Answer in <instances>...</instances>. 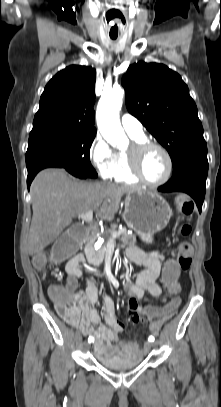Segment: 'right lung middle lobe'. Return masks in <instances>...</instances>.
Returning a JSON list of instances; mask_svg holds the SVG:
<instances>
[{"mask_svg":"<svg viewBox=\"0 0 221 407\" xmlns=\"http://www.w3.org/2000/svg\"><path fill=\"white\" fill-rule=\"evenodd\" d=\"M96 133L68 128L32 130L26 152V166L31 169L45 161H55L68 170L97 177L89 159Z\"/></svg>","mask_w":221,"mask_h":407,"instance_id":"1","label":"right lung middle lobe"}]
</instances>
